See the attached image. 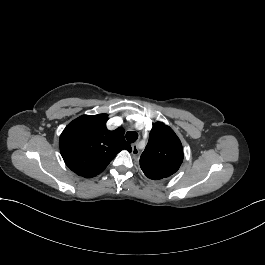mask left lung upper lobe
I'll return each mask as SVG.
<instances>
[{"mask_svg": "<svg viewBox=\"0 0 265 265\" xmlns=\"http://www.w3.org/2000/svg\"><path fill=\"white\" fill-rule=\"evenodd\" d=\"M183 157L182 144L175 132L164 123L156 122L140 156L145 176L152 180L169 177L179 169Z\"/></svg>", "mask_w": 265, "mask_h": 265, "instance_id": "obj_1", "label": "left lung upper lobe"}]
</instances>
